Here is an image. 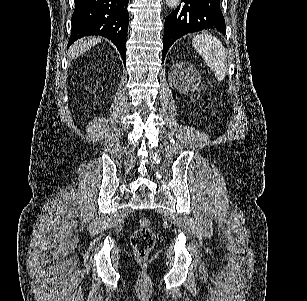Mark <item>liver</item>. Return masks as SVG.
I'll list each match as a JSON object with an SVG mask.
<instances>
[{
  "instance_id": "liver-1",
  "label": "liver",
  "mask_w": 307,
  "mask_h": 301,
  "mask_svg": "<svg viewBox=\"0 0 307 301\" xmlns=\"http://www.w3.org/2000/svg\"><path fill=\"white\" fill-rule=\"evenodd\" d=\"M102 36H86V38H80V40H76L71 44L67 54L69 58H78L80 54H84L86 50H90L92 46L101 42Z\"/></svg>"
}]
</instances>
